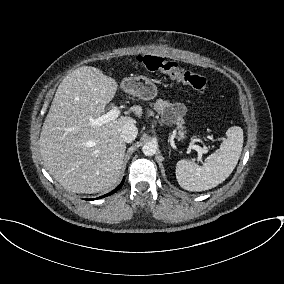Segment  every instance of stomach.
<instances>
[{
  "label": "stomach",
  "mask_w": 284,
  "mask_h": 284,
  "mask_svg": "<svg viewBox=\"0 0 284 284\" xmlns=\"http://www.w3.org/2000/svg\"><path fill=\"white\" fill-rule=\"evenodd\" d=\"M121 88L128 94L137 96L143 100H151L157 95L156 85L145 76L124 78Z\"/></svg>",
  "instance_id": "stomach-1"
}]
</instances>
